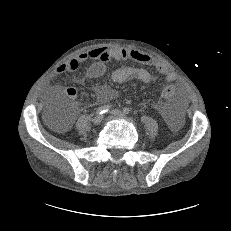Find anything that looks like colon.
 I'll return each instance as SVG.
<instances>
[{
    "label": "colon",
    "instance_id": "obj_1",
    "mask_svg": "<svg viewBox=\"0 0 231 231\" xmlns=\"http://www.w3.org/2000/svg\"><path fill=\"white\" fill-rule=\"evenodd\" d=\"M74 94L75 93L73 90H68L66 95L69 98H71V96H74ZM162 95L166 101H169V102L176 101L180 95L179 88L174 82L167 81L162 86ZM57 102H58L57 98L53 99L52 101V103H57ZM49 117L52 121L61 119V120H64L65 122H67L70 118L69 113L65 111L64 109L56 110L53 107L49 108Z\"/></svg>",
    "mask_w": 231,
    "mask_h": 231
}]
</instances>
